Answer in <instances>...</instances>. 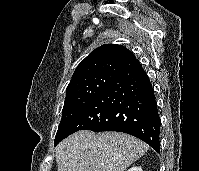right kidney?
I'll return each instance as SVG.
<instances>
[{"instance_id": "right-kidney-1", "label": "right kidney", "mask_w": 199, "mask_h": 171, "mask_svg": "<svg viewBox=\"0 0 199 171\" xmlns=\"http://www.w3.org/2000/svg\"><path fill=\"white\" fill-rule=\"evenodd\" d=\"M127 171H142V168L140 166H133L129 168Z\"/></svg>"}]
</instances>
